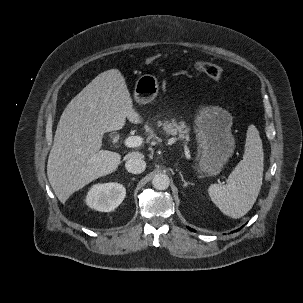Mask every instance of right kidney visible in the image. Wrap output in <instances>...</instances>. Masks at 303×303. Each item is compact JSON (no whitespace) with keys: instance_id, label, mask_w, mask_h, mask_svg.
Segmentation results:
<instances>
[{"instance_id":"obj_1","label":"right kidney","mask_w":303,"mask_h":303,"mask_svg":"<svg viewBox=\"0 0 303 303\" xmlns=\"http://www.w3.org/2000/svg\"><path fill=\"white\" fill-rule=\"evenodd\" d=\"M125 195L126 190L119 183L95 184L88 191L85 202L97 211L110 212L122 203Z\"/></svg>"}]
</instances>
